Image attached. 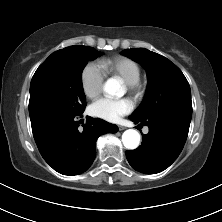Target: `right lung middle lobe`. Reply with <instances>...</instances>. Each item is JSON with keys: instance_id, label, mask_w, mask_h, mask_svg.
Segmentation results:
<instances>
[{"instance_id": "right-lung-middle-lobe-1", "label": "right lung middle lobe", "mask_w": 222, "mask_h": 222, "mask_svg": "<svg viewBox=\"0 0 222 222\" xmlns=\"http://www.w3.org/2000/svg\"><path fill=\"white\" fill-rule=\"evenodd\" d=\"M100 54L88 46H70L52 53L32 77L30 119L35 120L49 113H83L85 94L82 70L87 61Z\"/></svg>"}]
</instances>
